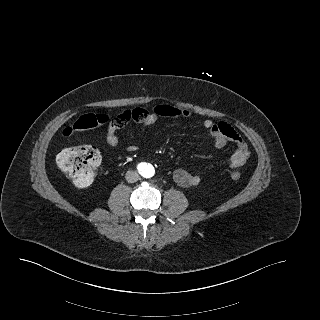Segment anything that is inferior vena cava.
I'll return each mask as SVG.
<instances>
[{
    "mask_svg": "<svg viewBox=\"0 0 320 320\" xmlns=\"http://www.w3.org/2000/svg\"><path fill=\"white\" fill-rule=\"evenodd\" d=\"M125 178L129 183H134L138 181L139 175L136 171L129 170L126 172Z\"/></svg>",
    "mask_w": 320,
    "mask_h": 320,
    "instance_id": "1",
    "label": "inferior vena cava"
}]
</instances>
